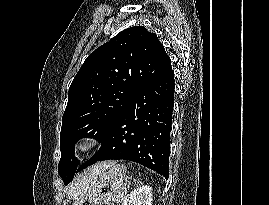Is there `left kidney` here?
I'll use <instances>...</instances> for the list:
<instances>
[{
    "mask_svg": "<svg viewBox=\"0 0 269 205\" xmlns=\"http://www.w3.org/2000/svg\"><path fill=\"white\" fill-rule=\"evenodd\" d=\"M152 189L144 185L134 189L128 194L122 205H152Z\"/></svg>",
    "mask_w": 269,
    "mask_h": 205,
    "instance_id": "left-kidney-1",
    "label": "left kidney"
}]
</instances>
